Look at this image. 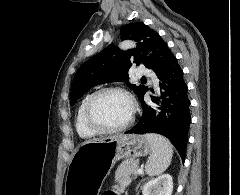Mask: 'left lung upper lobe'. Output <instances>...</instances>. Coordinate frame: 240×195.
Masks as SVG:
<instances>
[{
    "mask_svg": "<svg viewBox=\"0 0 240 195\" xmlns=\"http://www.w3.org/2000/svg\"><path fill=\"white\" fill-rule=\"evenodd\" d=\"M121 39L137 42V48L127 51L109 45L99 54L87 60L76 72L72 88L70 104H73L90 88L113 81L127 82L128 71L134 65H144L155 73L163 67L172 55L167 44L157 32L143 23H130L121 28ZM141 103L148 91L146 86H135L129 82Z\"/></svg>",
    "mask_w": 240,
    "mask_h": 195,
    "instance_id": "obj_1",
    "label": "left lung upper lobe"
}]
</instances>
